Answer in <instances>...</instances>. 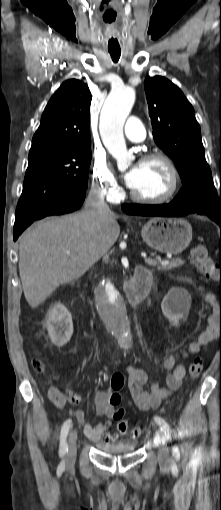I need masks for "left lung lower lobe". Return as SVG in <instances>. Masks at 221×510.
<instances>
[{
    "instance_id": "0a47b994",
    "label": "left lung lower lobe",
    "mask_w": 221,
    "mask_h": 510,
    "mask_svg": "<svg viewBox=\"0 0 221 510\" xmlns=\"http://www.w3.org/2000/svg\"><path fill=\"white\" fill-rule=\"evenodd\" d=\"M122 210L127 214L143 215V216H166L179 217L188 214H205L215 221L221 227V209H184L169 204L164 205H139V204H123Z\"/></svg>"
}]
</instances>
